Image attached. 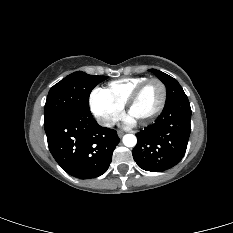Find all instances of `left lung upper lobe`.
Masks as SVG:
<instances>
[{
  "mask_svg": "<svg viewBox=\"0 0 233 233\" xmlns=\"http://www.w3.org/2000/svg\"><path fill=\"white\" fill-rule=\"evenodd\" d=\"M166 86L167 96L166 103H170L181 95H186L176 79L156 69H150Z\"/></svg>",
  "mask_w": 233,
  "mask_h": 233,
  "instance_id": "1",
  "label": "left lung upper lobe"
}]
</instances>
